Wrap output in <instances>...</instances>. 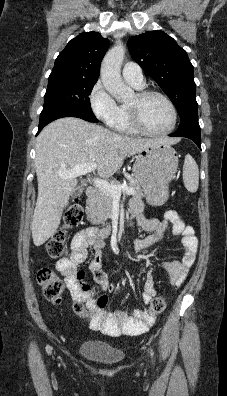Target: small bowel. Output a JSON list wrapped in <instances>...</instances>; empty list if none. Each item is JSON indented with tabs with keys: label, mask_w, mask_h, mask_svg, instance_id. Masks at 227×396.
Instances as JSON below:
<instances>
[{
	"label": "small bowel",
	"mask_w": 227,
	"mask_h": 396,
	"mask_svg": "<svg viewBox=\"0 0 227 396\" xmlns=\"http://www.w3.org/2000/svg\"><path fill=\"white\" fill-rule=\"evenodd\" d=\"M133 217L138 225L146 232L153 233L144 238H138L134 242L136 252H142L160 244L164 238V233L170 225L175 235H181L184 255L180 261H171L164 265L163 269L168 275L169 281L174 286H180L186 279L198 249V239L193 227L186 225L179 214L174 210H168L164 214V220L147 218L143 214V204L140 200L134 199L130 203ZM96 230L86 228L78 232L72 239L71 255L57 261V270L65 277L66 285L75 302L93 307V297L95 290L85 281V269L80 266L87 258V250L94 246L96 256L89 264V270L93 275L94 282L103 292H112L114 285L108 280L107 274L102 270L101 257L104 243L95 240ZM156 295L154 287V276L148 273L143 284L141 299L143 304L148 305ZM106 302V297L99 300L102 306ZM156 316L150 310H134L131 314L125 310L98 309L89 319V326L93 331L117 337L120 335L136 336L145 333L154 323Z\"/></svg>",
	"instance_id": "c3829d8e"
}]
</instances>
